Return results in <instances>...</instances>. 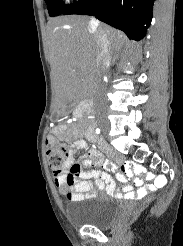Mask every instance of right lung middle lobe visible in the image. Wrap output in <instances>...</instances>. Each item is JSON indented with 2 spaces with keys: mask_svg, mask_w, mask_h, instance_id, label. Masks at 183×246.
I'll return each instance as SVG.
<instances>
[{
  "mask_svg": "<svg viewBox=\"0 0 183 246\" xmlns=\"http://www.w3.org/2000/svg\"><path fill=\"white\" fill-rule=\"evenodd\" d=\"M48 4V12L50 16H57L67 11L72 4H65L63 0H45Z\"/></svg>",
  "mask_w": 183,
  "mask_h": 246,
  "instance_id": "1",
  "label": "right lung middle lobe"
}]
</instances>
